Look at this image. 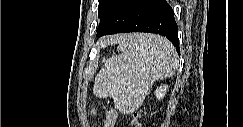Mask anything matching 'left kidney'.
I'll return each mask as SVG.
<instances>
[{"mask_svg":"<svg viewBox=\"0 0 243 127\" xmlns=\"http://www.w3.org/2000/svg\"><path fill=\"white\" fill-rule=\"evenodd\" d=\"M167 90H168V86L167 85H161V86L157 87V89L155 90L156 98L158 100L163 99V97L165 96Z\"/></svg>","mask_w":243,"mask_h":127,"instance_id":"left-kidney-1","label":"left kidney"}]
</instances>
